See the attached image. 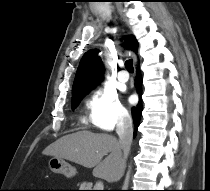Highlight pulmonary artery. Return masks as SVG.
<instances>
[{
  "mask_svg": "<svg viewBox=\"0 0 210 191\" xmlns=\"http://www.w3.org/2000/svg\"><path fill=\"white\" fill-rule=\"evenodd\" d=\"M128 79H129V75H128V73L126 72V71H124V70H121L119 73H118V80L120 81V82H127L128 81Z\"/></svg>",
  "mask_w": 210,
  "mask_h": 191,
  "instance_id": "1",
  "label": "pulmonary artery"
}]
</instances>
